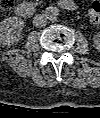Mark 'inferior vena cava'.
<instances>
[{"label": "inferior vena cava", "instance_id": "1", "mask_svg": "<svg viewBox=\"0 0 100 118\" xmlns=\"http://www.w3.org/2000/svg\"><path fill=\"white\" fill-rule=\"evenodd\" d=\"M47 23V18L44 14H37L35 15V17L33 18V25L35 27H44Z\"/></svg>", "mask_w": 100, "mask_h": 118}]
</instances>
